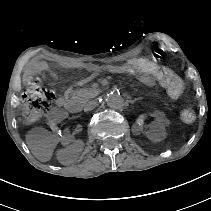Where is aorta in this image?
Instances as JSON below:
<instances>
[{"label":"aorta","instance_id":"aorta-1","mask_svg":"<svg viewBox=\"0 0 211 211\" xmlns=\"http://www.w3.org/2000/svg\"><path fill=\"white\" fill-rule=\"evenodd\" d=\"M107 105L114 109H120L124 106L122 96L117 92H111L106 97Z\"/></svg>","mask_w":211,"mask_h":211}]
</instances>
